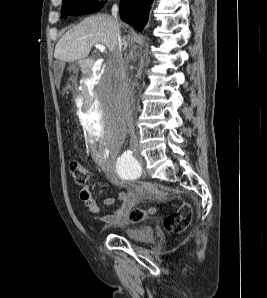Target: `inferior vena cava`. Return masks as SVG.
Segmentation results:
<instances>
[{
  "instance_id": "inferior-vena-cava-1",
  "label": "inferior vena cava",
  "mask_w": 267,
  "mask_h": 298,
  "mask_svg": "<svg viewBox=\"0 0 267 298\" xmlns=\"http://www.w3.org/2000/svg\"><path fill=\"white\" fill-rule=\"evenodd\" d=\"M117 15H118V6L115 4L112 7V16L114 19V27L118 36V45L112 52V55L109 61V69L114 72L115 77L118 80L117 96L115 100L116 109L119 115L132 128L133 126L132 109H131L132 94H131V90L126 76L127 66L122 58V47H121V40H120L119 25L117 22Z\"/></svg>"
}]
</instances>
